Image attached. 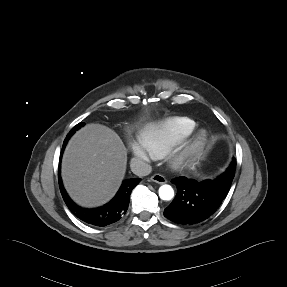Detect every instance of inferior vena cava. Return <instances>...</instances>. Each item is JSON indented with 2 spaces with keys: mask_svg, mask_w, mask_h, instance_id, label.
Returning a JSON list of instances; mask_svg holds the SVG:
<instances>
[{
  "mask_svg": "<svg viewBox=\"0 0 287 287\" xmlns=\"http://www.w3.org/2000/svg\"><path fill=\"white\" fill-rule=\"evenodd\" d=\"M130 167L132 172L139 177L147 176L152 171V167L139 158H132L130 162Z\"/></svg>",
  "mask_w": 287,
  "mask_h": 287,
  "instance_id": "1",
  "label": "inferior vena cava"
}]
</instances>
